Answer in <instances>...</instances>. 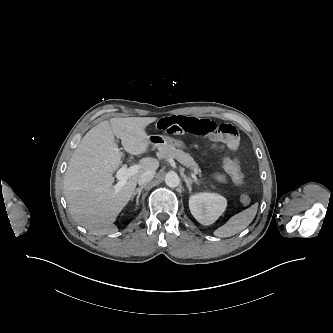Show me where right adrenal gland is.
<instances>
[{"label":"right adrenal gland","instance_id":"1","mask_svg":"<svg viewBox=\"0 0 333 333\" xmlns=\"http://www.w3.org/2000/svg\"><path fill=\"white\" fill-rule=\"evenodd\" d=\"M145 188V185H142L141 187L137 188L134 193L132 194V197H131V200L134 199L135 195H137V198H136V206H138L139 204V198H140V195H141V192L142 190Z\"/></svg>","mask_w":333,"mask_h":333}]
</instances>
